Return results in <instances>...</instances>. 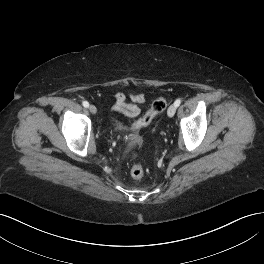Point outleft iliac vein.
I'll list each match as a JSON object with an SVG mask.
<instances>
[{
	"instance_id": "1",
	"label": "left iliac vein",
	"mask_w": 264,
	"mask_h": 264,
	"mask_svg": "<svg viewBox=\"0 0 264 264\" xmlns=\"http://www.w3.org/2000/svg\"><path fill=\"white\" fill-rule=\"evenodd\" d=\"M176 106L175 105H171L169 106L168 110H167V114L169 117H173L175 112H176Z\"/></svg>"
}]
</instances>
